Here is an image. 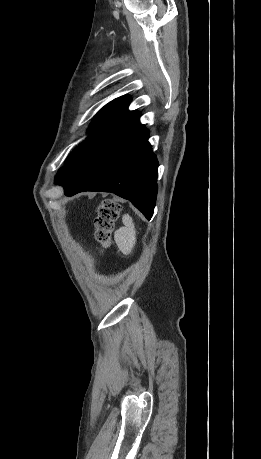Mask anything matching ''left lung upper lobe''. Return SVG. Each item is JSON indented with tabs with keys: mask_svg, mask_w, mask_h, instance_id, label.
<instances>
[{
	"mask_svg": "<svg viewBox=\"0 0 261 459\" xmlns=\"http://www.w3.org/2000/svg\"><path fill=\"white\" fill-rule=\"evenodd\" d=\"M130 97L121 96L105 105L93 119L89 131L93 132L87 139L74 149L65 161L55 178L61 185L69 176L88 159H90L133 115L136 111H128Z\"/></svg>",
	"mask_w": 261,
	"mask_h": 459,
	"instance_id": "left-lung-upper-lobe-1",
	"label": "left lung upper lobe"
}]
</instances>
